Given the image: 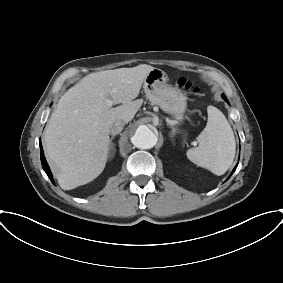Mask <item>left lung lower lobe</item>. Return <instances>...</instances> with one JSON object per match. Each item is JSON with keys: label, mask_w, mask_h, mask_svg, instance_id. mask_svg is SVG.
Returning a JSON list of instances; mask_svg holds the SVG:
<instances>
[{"label": "left lung lower lobe", "mask_w": 283, "mask_h": 283, "mask_svg": "<svg viewBox=\"0 0 283 283\" xmlns=\"http://www.w3.org/2000/svg\"><path fill=\"white\" fill-rule=\"evenodd\" d=\"M222 97H223V99H225V100L227 101V99H226V97H225L224 94L222 95ZM227 102H228V101H227ZM234 170H235V169H234ZM234 170H233V172H234ZM233 172H232V173H233ZM232 173H231V175H232ZM231 175H230V176H231ZM230 176H229V177H230Z\"/></svg>", "instance_id": "0a47b994"}]
</instances>
